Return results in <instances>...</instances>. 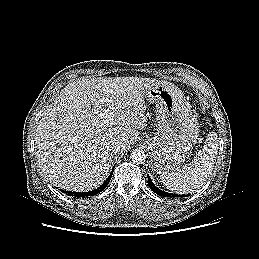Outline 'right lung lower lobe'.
Wrapping results in <instances>:
<instances>
[{
  "instance_id": "right-lung-lower-lobe-1",
  "label": "right lung lower lobe",
  "mask_w": 259,
  "mask_h": 259,
  "mask_svg": "<svg viewBox=\"0 0 259 259\" xmlns=\"http://www.w3.org/2000/svg\"><path fill=\"white\" fill-rule=\"evenodd\" d=\"M113 170H114V167H113L109 177L106 179V181L95 190H92L89 192H84V193H80V192H65V193L68 194L69 196H75V197L93 196L95 194H98L101 191H103L105 189V187L108 185V183L110 182L111 176L113 174ZM62 192H64V190H62Z\"/></svg>"
}]
</instances>
